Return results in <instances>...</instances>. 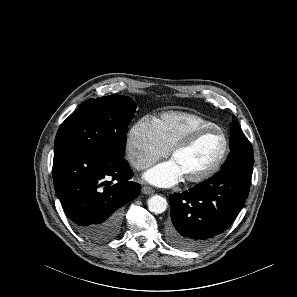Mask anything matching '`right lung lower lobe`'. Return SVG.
<instances>
[{
  "instance_id": "right-lung-lower-lobe-1",
  "label": "right lung lower lobe",
  "mask_w": 297,
  "mask_h": 297,
  "mask_svg": "<svg viewBox=\"0 0 297 297\" xmlns=\"http://www.w3.org/2000/svg\"><path fill=\"white\" fill-rule=\"evenodd\" d=\"M52 174L66 215L82 236L96 242L119 233L122 207L140 193L124 157L93 148L54 150Z\"/></svg>"
}]
</instances>
